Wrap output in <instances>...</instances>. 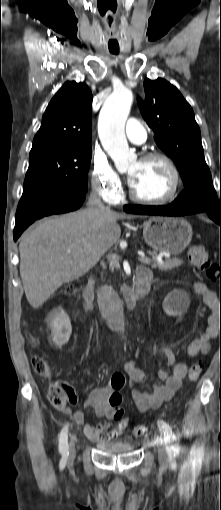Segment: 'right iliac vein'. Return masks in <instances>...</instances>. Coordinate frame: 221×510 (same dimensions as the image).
I'll list each match as a JSON object with an SVG mask.
<instances>
[{
	"instance_id": "63e3f726",
	"label": "right iliac vein",
	"mask_w": 221,
	"mask_h": 510,
	"mask_svg": "<svg viewBox=\"0 0 221 510\" xmlns=\"http://www.w3.org/2000/svg\"><path fill=\"white\" fill-rule=\"evenodd\" d=\"M76 450H75V438L72 437L69 445V456L68 462L72 463L75 458Z\"/></svg>"
}]
</instances>
